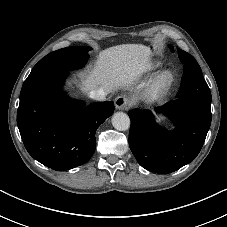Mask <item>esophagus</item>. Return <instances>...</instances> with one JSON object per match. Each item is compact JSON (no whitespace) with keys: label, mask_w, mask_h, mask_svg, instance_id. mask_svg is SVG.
Segmentation results:
<instances>
[{"label":"esophagus","mask_w":227,"mask_h":227,"mask_svg":"<svg viewBox=\"0 0 227 227\" xmlns=\"http://www.w3.org/2000/svg\"><path fill=\"white\" fill-rule=\"evenodd\" d=\"M128 106V99L123 97V96H119L115 99V107L118 110H124L127 109Z\"/></svg>","instance_id":"34e87169"}]
</instances>
